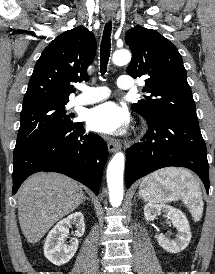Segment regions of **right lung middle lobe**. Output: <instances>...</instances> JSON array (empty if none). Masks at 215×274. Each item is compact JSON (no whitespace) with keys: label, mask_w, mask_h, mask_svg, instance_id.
Here are the masks:
<instances>
[{"label":"right lung middle lobe","mask_w":215,"mask_h":274,"mask_svg":"<svg viewBox=\"0 0 215 274\" xmlns=\"http://www.w3.org/2000/svg\"><path fill=\"white\" fill-rule=\"evenodd\" d=\"M66 104L43 102L22 108L14 157L38 140L75 125L66 115Z\"/></svg>","instance_id":"dd1d6c3e"}]
</instances>
